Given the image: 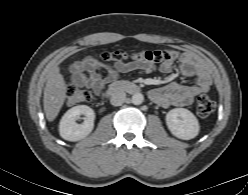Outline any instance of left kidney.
Masks as SVG:
<instances>
[{
	"mask_svg": "<svg viewBox=\"0 0 248 195\" xmlns=\"http://www.w3.org/2000/svg\"><path fill=\"white\" fill-rule=\"evenodd\" d=\"M166 124L170 132L179 139L195 138L200 130L196 116L185 108H175L166 115Z\"/></svg>",
	"mask_w": 248,
	"mask_h": 195,
	"instance_id": "left-kidney-1",
	"label": "left kidney"
}]
</instances>
